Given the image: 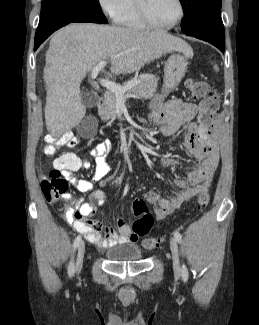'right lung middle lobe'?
<instances>
[{
	"instance_id": "obj_1",
	"label": "right lung middle lobe",
	"mask_w": 259,
	"mask_h": 325,
	"mask_svg": "<svg viewBox=\"0 0 259 325\" xmlns=\"http://www.w3.org/2000/svg\"><path fill=\"white\" fill-rule=\"evenodd\" d=\"M64 21L107 23L99 0H42L36 36Z\"/></svg>"
}]
</instances>
